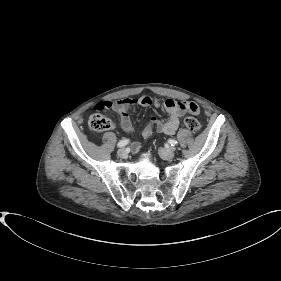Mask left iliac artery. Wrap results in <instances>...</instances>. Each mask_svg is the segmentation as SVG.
Segmentation results:
<instances>
[{"label":"left iliac artery","instance_id":"44dca946","mask_svg":"<svg viewBox=\"0 0 281 281\" xmlns=\"http://www.w3.org/2000/svg\"><path fill=\"white\" fill-rule=\"evenodd\" d=\"M168 143H169L171 146H176L178 142H177L176 140H174V139H170V140L168 141Z\"/></svg>","mask_w":281,"mask_h":281}]
</instances>
